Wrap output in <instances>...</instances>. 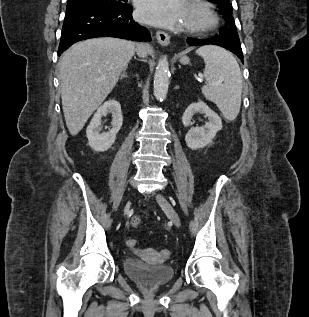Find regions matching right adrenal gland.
<instances>
[{
    "mask_svg": "<svg viewBox=\"0 0 309 317\" xmlns=\"http://www.w3.org/2000/svg\"><path fill=\"white\" fill-rule=\"evenodd\" d=\"M127 74H126V69L123 70L121 76H120V79H123V78H127Z\"/></svg>",
    "mask_w": 309,
    "mask_h": 317,
    "instance_id": "obj_1",
    "label": "right adrenal gland"
}]
</instances>
